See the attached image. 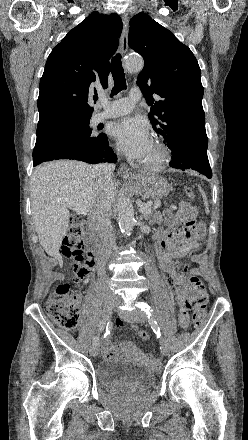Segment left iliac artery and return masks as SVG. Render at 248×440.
Instances as JSON below:
<instances>
[{
  "mask_svg": "<svg viewBox=\"0 0 248 440\" xmlns=\"http://www.w3.org/2000/svg\"><path fill=\"white\" fill-rule=\"evenodd\" d=\"M137 306L139 308H141V310H143L146 313L148 319L150 321H152L153 330L160 337L161 336L160 329L157 325V322L154 321V319H153L154 310L147 303H144V302L138 303ZM160 343H161V348H162V346L164 344V340L161 339Z\"/></svg>",
  "mask_w": 248,
  "mask_h": 440,
  "instance_id": "1",
  "label": "left iliac artery"
}]
</instances>
